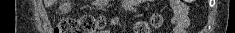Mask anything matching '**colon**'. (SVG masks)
Returning <instances> with one entry per match:
<instances>
[{
	"label": "colon",
	"mask_w": 235,
	"mask_h": 33,
	"mask_svg": "<svg viewBox=\"0 0 235 33\" xmlns=\"http://www.w3.org/2000/svg\"><path fill=\"white\" fill-rule=\"evenodd\" d=\"M163 18L154 14L151 25L140 22L135 28V33H150L151 27H160ZM105 26V19L100 16L83 15L78 18H64L55 27L54 33H96Z\"/></svg>",
	"instance_id": "1"
}]
</instances>
